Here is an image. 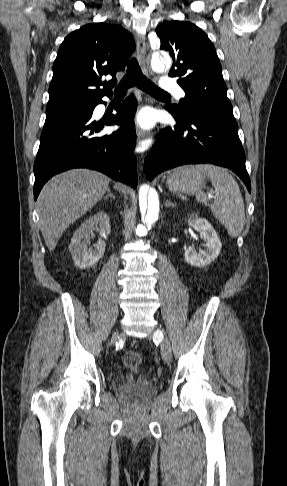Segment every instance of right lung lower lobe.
I'll return each mask as SVG.
<instances>
[{"mask_svg": "<svg viewBox=\"0 0 287 486\" xmlns=\"http://www.w3.org/2000/svg\"><path fill=\"white\" fill-rule=\"evenodd\" d=\"M100 103L102 99L90 104L83 116L44 125L34 164V199L53 175L72 168L98 170L133 188L137 186L136 160L132 155L137 101L130 95L116 107L117 114L106 125L121 124L122 128L111 135H98L105 122L92 119L93 110Z\"/></svg>", "mask_w": 287, "mask_h": 486, "instance_id": "98d812e1", "label": "right lung lower lobe"}]
</instances>
